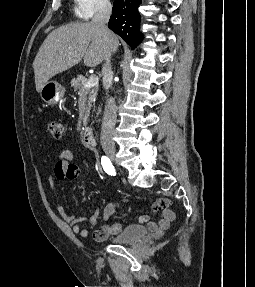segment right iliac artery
I'll return each mask as SVG.
<instances>
[{
	"label": "right iliac artery",
	"mask_w": 255,
	"mask_h": 287,
	"mask_svg": "<svg viewBox=\"0 0 255 287\" xmlns=\"http://www.w3.org/2000/svg\"><path fill=\"white\" fill-rule=\"evenodd\" d=\"M101 164L107 174L115 175V168L108 157L103 156L101 158Z\"/></svg>",
	"instance_id": "obj_1"
}]
</instances>
